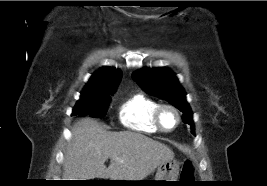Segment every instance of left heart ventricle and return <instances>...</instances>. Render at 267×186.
I'll return each mask as SVG.
<instances>
[{
	"label": "left heart ventricle",
	"instance_id": "b2bd125f",
	"mask_svg": "<svg viewBox=\"0 0 267 186\" xmlns=\"http://www.w3.org/2000/svg\"><path fill=\"white\" fill-rule=\"evenodd\" d=\"M176 123V115L175 113L170 110L166 109L162 113V124L166 129L172 128Z\"/></svg>",
	"mask_w": 267,
	"mask_h": 186
}]
</instances>
